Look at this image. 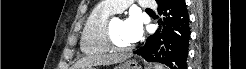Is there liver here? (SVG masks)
<instances>
[{
  "label": "liver",
  "instance_id": "liver-1",
  "mask_svg": "<svg viewBox=\"0 0 246 69\" xmlns=\"http://www.w3.org/2000/svg\"><path fill=\"white\" fill-rule=\"evenodd\" d=\"M128 57V55L123 54H104L87 56L79 60L73 66V69H90L92 66L96 65H112L116 63H121Z\"/></svg>",
  "mask_w": 246,
  "mask_h": 69
}]
</instances>
